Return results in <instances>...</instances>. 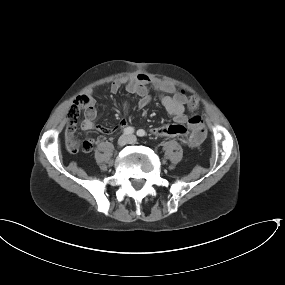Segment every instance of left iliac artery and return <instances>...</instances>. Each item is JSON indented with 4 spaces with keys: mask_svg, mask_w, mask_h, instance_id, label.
Listing matches in <instances>:
<instances>
[{
    "mask_svg": "<svg viewBox=\"0 0 285 285\" xmlns=\"http://www.w3.org/2000/svg\"><path fill=\"white\" fill-rule=\"evenodd\" d=\"M137 135H138L139 137H143V136H145V131L142 130V129H139V130L137 131Z\"/></svg>",
    "mask_w": 285,
    "mask_h": 285,
    "instance_id": "left-iliac-artery-1",
    "label": "left iliac artery"
}]
</instances>
